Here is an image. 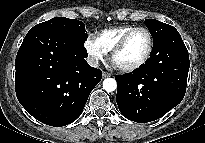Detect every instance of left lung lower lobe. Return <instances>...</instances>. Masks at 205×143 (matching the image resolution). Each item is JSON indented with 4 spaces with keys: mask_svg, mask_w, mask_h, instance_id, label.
<instances>
[{
    "mask_svg": "<svg viewBox=\"0 0 205 143\" xmlns=\"http://www.w3.org/2000/svg\"><path fill=\"white\" fill-rule=\"evenodd\" d=\"M189 66L188 51L178 31L154 43L147 63L115 76L121 114L138 123L164 116L182 101Z\"/></svg>",
    "mask_w": 205,
    "mask_h": 143,
    "instance_id": "0a47b994",
    "label": "left lung lower lobe"
}]
</instances>
